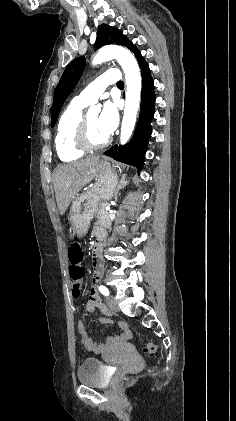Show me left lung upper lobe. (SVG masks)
<instances>
[{
    "instance_id": "obj_1",
    "label": "left lung upper lobe",
    "mask_w": 236,
    "mask_h": 421,
    "mask_svg": "<svg viewBox=\"0 0 236 421\" xmlns=\"http://www.w3.org/2000/svg\"><path fill=\"white\" fill-rule=\"evenodd\" d=\"M118 44L133 50L135 46L118 29L102 24L99 26L95 47L100 48L104 45ZM85 66V58L78 57L74 59L65 69L62 77L55 89L54 101L51 109V127L56 123L57 116L61 107L70 92L77 84L82 75Z\"/></svg>"
}]
</instances>
